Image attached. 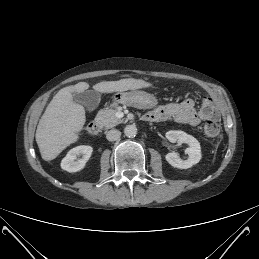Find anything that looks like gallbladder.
<instances>
[{"mask_svg": "<svg viewBox=\"0 0 259 259\" xmlns=\"http://www.w3.org/2000/svg\"><path fill=\"white\" fill-rule=\"evenodd\" d=\"M73 100L78 104H84L88 109H95L100 102V95L95 91L75 92Z\"/></svg>", "mask_w": 259, "mask_h": 259, "instance_id": "bac80fb5", "label": "gallbladder"}]
</instances>
